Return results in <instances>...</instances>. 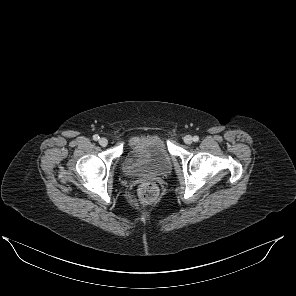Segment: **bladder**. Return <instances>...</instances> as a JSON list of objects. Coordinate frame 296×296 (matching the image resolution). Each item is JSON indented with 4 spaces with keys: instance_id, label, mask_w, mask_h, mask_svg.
Segmentation results:
<instances>
[{
    "instance_id": "31cf9c89",
    "label": "bladder",
    "mask_w": 296,
    "mask_h": 296,
    "mask_svg": "<svg viewBox=\"0 0 296 296\" xmlns=\"http://www.w3.org/2000/svg\"><path fill=\"white\" fill-rule=\"evenodd\" d=\"M130 152H142L145 159L134 163L127 159L124 169L131 176L159 177L168 174L172 169L171 157L165 143L157 135H148L135 141L130 146Z\"/></svg>"
}]
</instances>
